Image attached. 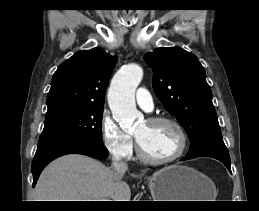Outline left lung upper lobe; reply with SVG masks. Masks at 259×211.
Segmentation results:
<instances>
[{
	"label": "left lung upper lobe",
	"instance_id": "5c2ea615",
	"mask_svg": "<svg viewBox=\"0 0 259 211\" xmlns=\"http://www.w3.org/2000/svg\"><path fill=\"white\" fill-rule=\"evenodd\" d=\"M154 72L155 94L185 128L190 149L229 154L223 142L206 73L195 55L180 47L158 48L145 55Z\"/></svg>",
	"mask_w": 259,
	"mask_h": 211
}]
</instances>
